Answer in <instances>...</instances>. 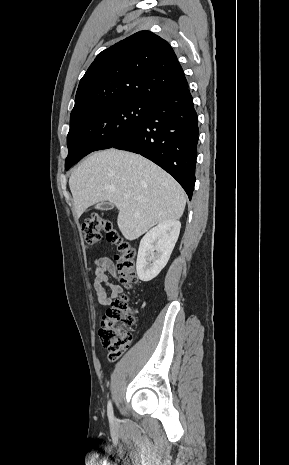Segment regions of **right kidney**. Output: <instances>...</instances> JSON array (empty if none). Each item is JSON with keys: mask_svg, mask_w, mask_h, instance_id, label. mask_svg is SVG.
Returning a JSON list of instances; mask_svg holds the SVG:
<instances>
[{"mask_svg": "<svg viewBox=\"0 0 289 465\" xmlns=\"http://www.w3.org/2000/svg\"><path fill=\"white\" fill-rule=\"evenodd\" d=\"M178 220H166L149 230L141 239L136 271L141 281L155 278L167 264L180 233Z\"/></svg>", "mask_w": 289, "mask_h": 465, "instance_id": "1", "label": "right kidney"}]
</instances>
